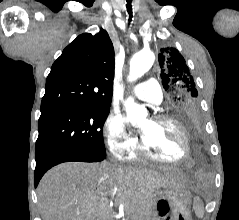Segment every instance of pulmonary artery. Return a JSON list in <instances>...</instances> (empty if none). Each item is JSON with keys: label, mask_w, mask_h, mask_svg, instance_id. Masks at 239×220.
Returning a JSON list of instances; mask_svg holds the SVG:
<instances>
[{"label": "pulmonary artery", "mask_w": 239, "mask_h": 220, "mask_svg": "<svg viewBox=\"0 0 239 220\" xmlns=\"http://www.w3.org/2000/svg\"><path fill=\"white\" fill-rule=\"evenodd\" d=\"M131 94L139 100L159 104L162 101V89L158 81L151 78L132 88Z\"/></svg>", "instance_id": "e3ab8cb5"}]
</instances>
